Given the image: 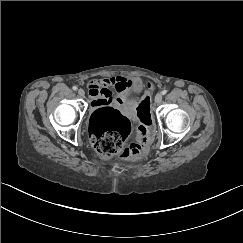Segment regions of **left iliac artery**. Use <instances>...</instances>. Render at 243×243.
I'll list each match as a JSON object with an SVG mask.
<instances>
[{
    "label": "left iliac artery",
    "mask_w": 243,
    "mask_h": 243,
    "mask_svg": "<svg viewBox=\"0 0 243 243\" xmlns=\"http://www.w3.org/2000/svg\"><path fill=\"white\" fill-rule=\"evenodd\" d=\"M166 93H167L166 90H163V91L161 92L162 95H165Z\"/></svg>",
    "instance_id": "obj_1"
}]
</instances>
